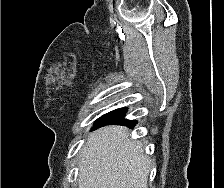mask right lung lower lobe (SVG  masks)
Segmentation results:
<instances>
[{
  "label": "right lung lower lobe",
  "mask_w": 224,
  "mask_h": 188,
  "mask_svg": "<svg viewBox=\"0 0 224 188\" xmlns=\"http://www.w3.org/2000/svg\"><path fill=\"white\" fill-rule=\"evenodd\" d=\"M125 113H126V108H121V109H117L112 112H109L101 116L99 119H97L94 128H98L99 126H103L106 124H114V123L126 125L129 127H134L137 121L124 119Z\"/></svg>",
  "instance_id": "1"
}]
</instances>
